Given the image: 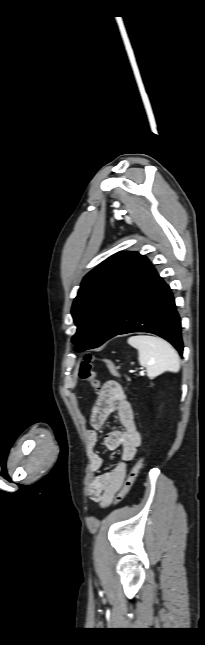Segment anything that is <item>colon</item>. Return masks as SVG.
<instances>
[{
  "label": "colon",
  "instance_id": "obj_1",
  "mask_svg": "<svg viewBox=\"0 0 205 645\" xmlns=\"http://www.w3.org/2000/svg\"><path fill=\"white\" fill-rule=\"evenodd\" d=\"M94 360L95 358L92 355H86L80 364L78 375L81 380L88 382L90 386L94 389V391L98 393L100 391L99 390L100 388H99V381L97 380L96 374L93 371ZM98 360L101 361L114 376L116 377L120 376L117 367L112 361L104 358H100ZM108 383L111 389H120L121 387L119 382L117 381H110ZM143 464H144V457H141L131 469L125 483L123 484L122 488L118 492L114 501L115 505H118L128 494L139 471L143 467Z\"/></svg>",
  "mask_w": 205,
  "mask_h": 645
}]
</instances>
